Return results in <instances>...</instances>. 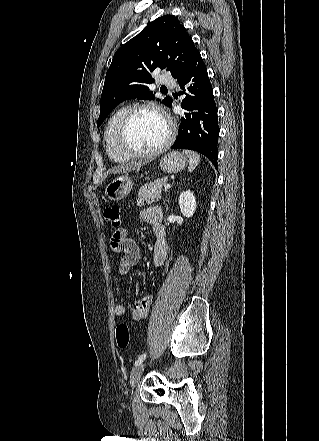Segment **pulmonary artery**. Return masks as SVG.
<instances>
[{
	"label": "pulmonary artery",
	"mask_w": 319,
	"mask_h": 441,
	"mask_svg": "<svg viewBox=\"0 0 319 441\" xmlns=\"http://www.w3.org/2000/svg\"><path fill=\"white\" fill-rule=\"evenodd\" d=\"M159 82L163 85H166V86H174L175 85L174 79L170 75H167V74L161 75Z\"/></svg>",
	"instance_id": "e3ab8cb5"
}]
</instances>
